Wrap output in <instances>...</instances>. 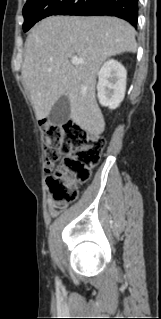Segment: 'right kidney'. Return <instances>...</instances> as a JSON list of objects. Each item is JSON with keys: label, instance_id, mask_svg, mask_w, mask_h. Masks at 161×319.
Segmentation results:
<instances>
[{"label": "right kidney", "instance_id": "ca27d5eb", "mask_svg": "<svg viewBox=\"0 0 161 319\" xmlns=\"http://www.w3.org/2000/svg\"><path fill=\"white\" fill-rule=\"evenodd\" d=\"M127 72L113 59L103 64L98 73L97 97L102 106L115 109L125 96Z\"/></svg>", "mask_w": 161, "mask_h": 319}]
</instances>
